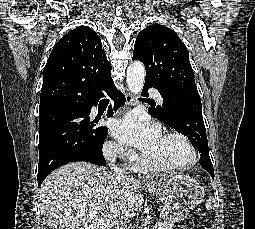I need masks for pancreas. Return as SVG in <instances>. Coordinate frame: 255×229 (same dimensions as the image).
<instances>
[{"label":"pancreas","mask_w":255,"mask_h":229,"mask_svg":"<svg viewBox=\"0 0 255 229\" xmlns=\"http://www.w3.org/2000/svg\"><path fill=\"white\" fill-rule=\"evenodd\" d=\"M156 229H172V226L167 223H162L161 226H158Z\"/></svg>","instance_id":"cf45deb5"}]
</instances>
